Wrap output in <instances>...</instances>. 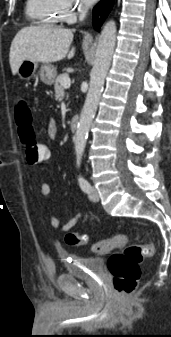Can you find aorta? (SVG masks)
<instances>
[{
    "instance_id": "762f6f07",
    "label": "aorta",
    "mask_w": 171,
    "mask_h": 337,
    "mask_svg": "<svg viewBox=\"0 0 171 337\" xmlns=\"http://www.w3.org/2000/svg\"><path fill=\"white\" fill-rule=\"evenodd\" d=\"M116 23L107 22L101 32L96 49L93 68L90 73V85L75 133V152L82 156L86 146L90 125L96 113L104 81L111 64L116 42Z\"/></svg>"
}]
</instances>
